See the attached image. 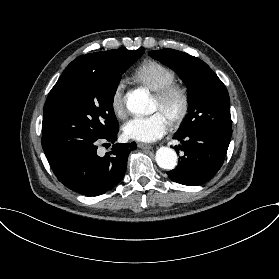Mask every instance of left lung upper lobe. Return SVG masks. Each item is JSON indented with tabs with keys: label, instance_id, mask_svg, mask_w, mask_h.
Segmentation results:
<instances>
[{
	"label": "left lung upper lobe",
	"instance_id": "left-lung-upper-lobe-1",
	"mask_svg": "<svg viewBox=\"0 0 279 279\" xmlns=\"http://www.w3.org/2000/svg\"><path fill=\"white\" fill-rule=\"evenodd\" d=\"M149 54L173 68L187 86L189 111L177 133L203 128L232 133L227 89L205 62L174 49L155 50Z\"/></svg>",
	"mask_w": 279,
	"mask_h": 279
}]
</instances>
